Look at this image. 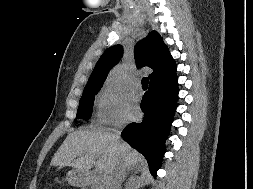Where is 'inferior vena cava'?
Returning a JSON list of instances; mask_svg holds the SVG:
<instances>
[{
    "label": "inferior vena cava",
    "mask_w": 253,
    "mask_h": 189,
    "mask_svg": "<svg viewBox=\"0 0 253 189\" xmlns=\"http://www.w3.org/2000/svg\"><path fill=\"white\" fill-rule=\"evenodd\" d=\"M119 128H121V126ZM120 133V130L115 131L114 138L116 140L119 138ZM126 169L127 166L124 164V162L117 163L110 173L104 177L102 189H120V185L122 181H124L126 175Z\"/></svg>",
    "instance_id": "1"
}]
</instances>
